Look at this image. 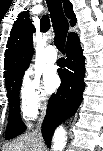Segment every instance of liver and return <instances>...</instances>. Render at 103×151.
Masks as SVG:
<instances>
[{
    "mask_svg": "<svg viewBox=\"0 0 103 151\" xmlns=\"http://www.w3.org/2000/svg\"><path fill=\"white\" fill-rule=\"evenodd\" d=\"M44 143L40 134H24L14 142L2 147V151H43Z\"/></svg>",
    "mask_w": 103,
    "mask_h": 151,
    "instance_id": "6515ba94",
    "label": "liver"
}]
</instances>
